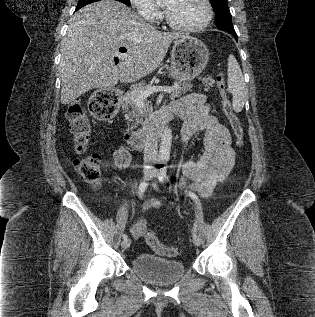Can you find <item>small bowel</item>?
<instances>
[{"label":"small bowel","mask_w":315,"mask_h":317,"mask_svg":"<svg viewBox=\"0 0 315 317\" xmlns=\"http://www.w3.org/2000/svg\"><path fill=\"white\" fill-rule=\"evenodd\" d=\"M169 109L175 111L184 121L181 140L185 143L193 134L205 131L204 148L195 161L182 164L183 180L181 187H189L203 197L212 195L214 189L223 182L233 169L235 151L229 130L211 113L206 97L202 93H191L181 97ZM113 163L119 170L130 166L132 156L124 145L112 153ZM160 199H150L142 205V213L150 209H159ZM146 232V220L141 215L130 227L135 239Z\"/></svg>","instance_id":"c3829d8e"}]
</instances>
